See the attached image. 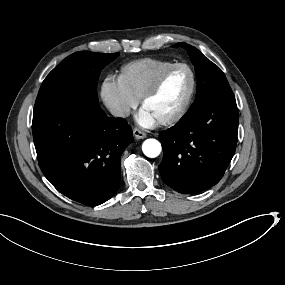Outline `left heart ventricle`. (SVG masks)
I'll return each instance as SVG.
<instances>
[{
  "instance_id": "b2bd125f",
  "label": "left heart ventricle",
  "mask_w": 285,
  "mask_h": 285,
  "mask_svg": "<svg viewBox=\"0 0 285 285\" xmlns=\"http://www.w3.org/2000/svg\"><path fill=\"white\" fill-rule=\"evenodd\" d=\"M190 83L184 73L172 75L161 90L152 96L143 107L159 120L175 113L184 103Z\"/></svg>"
}]
</instances>
